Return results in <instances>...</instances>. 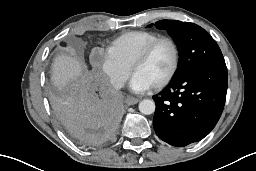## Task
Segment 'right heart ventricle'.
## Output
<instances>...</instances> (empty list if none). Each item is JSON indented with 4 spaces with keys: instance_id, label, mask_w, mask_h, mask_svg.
<instances>
[{
    "instance_id": "obj_1",
    "label": "right heart ventricle",
    "mask_w": 256,
    "mask_h": 171,
    "mask_svg": "<svg viewBox=\"0 0 256 171\" xmlns=\"http://www.w3.org/2000/svg\"><path fill=\"white\" fill-rule=\"evenodd\" d=\"M158 37L160 36L157 33L151 31H129L114 39L107 47V52L121 64L130 68L139 52Z\"/></svg>"
}]
</instances>
